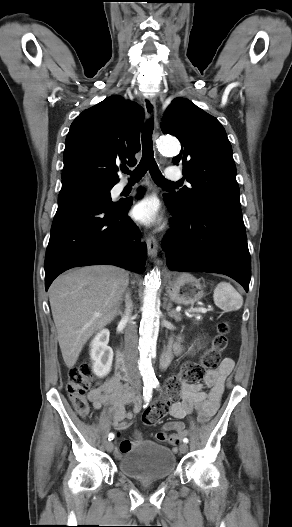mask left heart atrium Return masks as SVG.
Returning a JSON list of instances; mask_svg holds the SVG:
<instances>
[{"instance_id": "obj_1", "label": "left heart atrium", "mask_w": 292, "mask_h": 527, "mask_svg": "<svg viewBox=\"0 0 292 527\" xmlns=\"http://www.w3.org/2000/svg\"><path fill=\"white\" fill-rule=\"evenodd\" d=\"M134 218L144 225H152L158 220L157 205L152 198L138 202L133 209Z\"/></svg>"}]
</instances>
